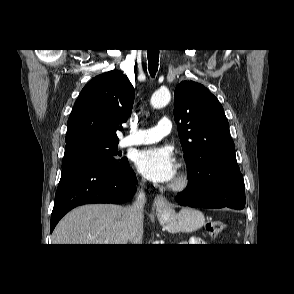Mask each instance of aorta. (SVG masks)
I'll return each mask as SVG.
<instances>
[{
	"label": "aorta",
	"instance_id": "762f6f07",
	"mask_svg": "<svg viewBox=\"0 0 294 294\" xmlns=\"http://www.w3.org/2000/svg\"><path fill=\"white\" fill-rule=\"evenodd\" d=\"M171 100V94L167 89H160L156 91L150 100L152 107L159 109L166 106Z\"/></svg>",
	"mask_w": 294,
	"mask_h": 294
}]
</instances>
